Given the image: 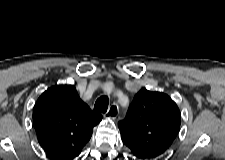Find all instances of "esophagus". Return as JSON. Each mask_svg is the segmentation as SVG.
Masks as SVG:
<instances>
[{
  "instance_id": "1",
  "label": "esophagus",
  "mask_w": 225,
  "mask_h": 160,
  "mask_svg": "<svg viewBox=\"0 0 225 160\" xmlns=\"http://www.w3.org/2000/svg\"><path fill=\"white\" fill-rule=\"evenodd\" d=\"M118 112H119L118 105L116 103H113L109 107L106 116L115 119L118 116Z\"/></svg>"
}]
</instances>
